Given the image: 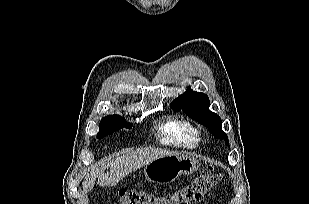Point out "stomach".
<instances>
[{
	"instance_id": "stomach-1",
	"label": "stomach",
	"mask_w": 309,
	"mask_h": 204,
	"mask_svg": "<svg viewBox=\"0 0 309 204\" xmlns=\"http://www.w3.org/2000/svg\"><path fill=\"white\" fill-rule=\"evenodd\" d=\"M199 168L197 159L187 155H168L145 165L144 175L150 182L174 181L181 175H189Z\"/></svg>"
}]
</instances>
